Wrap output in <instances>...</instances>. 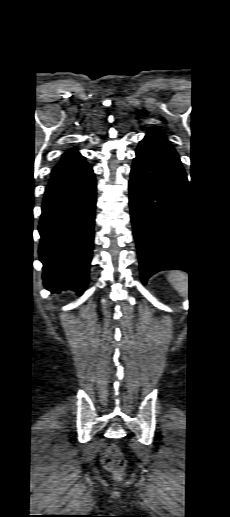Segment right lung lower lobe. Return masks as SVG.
Instances as JSON below:
<instances>
[{"label": "right lung lower lobe", "mask_w": 230, "mask_h": 517, "mask_svg": "<svg viewBox=\"0 0 230 517\" xmlns=\"http://www.w3.org/2000/svg\"><path fill=\"white\" fill-rule=\"evenodd\" d=\"M96 181L92 167L51 178L39 224V258L47 289L82 294L88 284L93 249Z\"/></svg>", "instance_id": "obj_1"}]
</instances>
